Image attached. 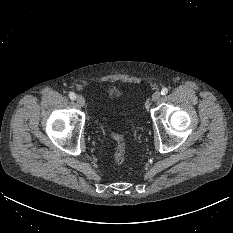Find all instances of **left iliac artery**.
I'll return each instance as SVG.
<instances>
[{
	"label": "left iliac artery",
	"mask_w": 233,
	"mask_h": 233,
	"mask_svg": "<svg viewBox=\"0 0 233 233\" xmlns=\"http://www.w3.org/2000/svg\"><path fill=\"white\" fill-rule=\"evenodd\" d=\"M168 93V89L167 88H163L161 90V95H166Z\"/></svg>",
	"instance_id": "left-iliac-artery-1"
}]
</instances>
